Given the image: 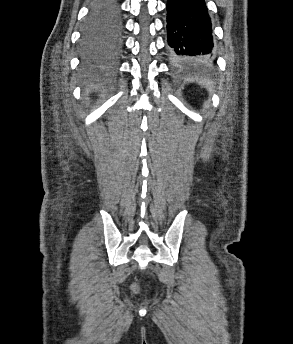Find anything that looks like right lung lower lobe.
I'll use <instances>...</instances> for the list:
<instances>
[{
    "label": "right lung lower lobe",
    "mask_w": 293,
    "mask_h": 344,
    "mask_svg": "<svg viewBox=\"0 0 293 344\" xmlns=\"http://www.w3.org/2000/svg\"><path fill=\"white\" fill-rule=\"evenodd\" d=\"M120 32H121V20H120V27H119V30L115 33V43L118 44L119 41H120Z\"/></svg>",
    "instance_id": "right-lung-lower-lobe-1"
}]
</instances>
